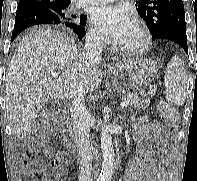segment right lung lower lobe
Listing matches in <instances>:
<instances>
[{
    "instance_id": "1",
    "label": "right lung lower lobe",
    "mask_w": 197,
    "mask_h": 181,
    "mask_svg": "<svg viewBox=\"0 0 197 181\" xmlns=\"http://www.w3.org/2000/svg\"><path fill=\"white\" fill-rule=\"evenodd\" d=\"M41 24L68 27L73 30L79 38H83L86 33L85 25L62 21L57 15H55L44 5L20 1L17 7L15 28L13 30L11 40H14L17 35L26 28Z\"/></svg>"
}]
</instances>
